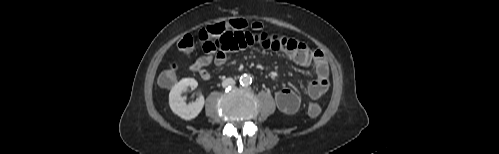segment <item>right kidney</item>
<instances>
[{
    "label": "right kidney",
    "mask_w": 499,
    "mask_h": 154,
    "mask_svg": "<svg viewBox=\"0 0 499 154\" xmlns=\"http://www.w3.org/2000/svg\"><path fill=\"white\" fill-rule=\"evenodd\" d=\"M198 82L194 78H183L173 86L169 93V105L171 110L185 120H191L198 116L204 106V97L200 95L196 101L186 103L181 97V93L188 87L194 90Z\"/></svg>",
    "instance_id": "ca27d5eb"
}]
</instances>
